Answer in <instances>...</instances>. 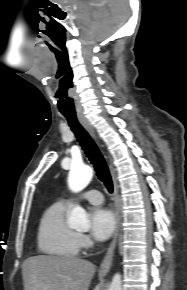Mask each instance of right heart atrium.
<instances>
[{
    "instance_id": "right-heart-atrium-1",
    "label": "right heart atrium",
    "mask_w": 187,
    "mask_h": 290,
    "mask_svg": "<svg viewBox=\"0 0 187 290\" xmlns=\"http://www.w3.org/2000/svg\"><path fill=\"white\" fill-rule=\"evenodd\" d=\"M78 240H79V243H80V247H82V248H87L91 244V241H90L89 237L84 235V234H79L78 235Z\"/></svg>"
}]
</instances>
